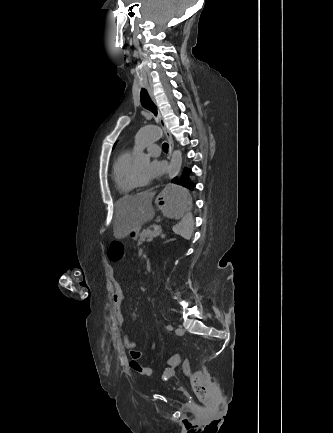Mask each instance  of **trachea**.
<instances>
[{
	"instance_id": "3493384b",
	"label": "trachea",
	"mask_w": 333,
	"mask_h": 433,
	"mask_svg": "<svg viewBox=\"0 0 333 433\" xmlns=\"http://www.w3.org/2000/svg\"><path fill=\"white\" fill-rule=\"evenodd\" d=\"M140 101H141L142 106L145 109L151 111L155 116H157V107L153 103V101L150 99V97H149V95L145 89L141 90ZM162 149H163V151L167 152L168 151V144L164 143L162 145Z\"/></svg>"
}]
</instances>
